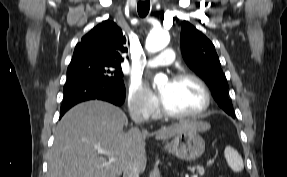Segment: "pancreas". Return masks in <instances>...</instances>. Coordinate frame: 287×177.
<instances>
[{
	"label": "pancreas",
	"instance_id": "obj_1",
	"mask_svg": "<svg viewBox=\"0 0 287 177\" xmlns=\"http://www.w3.org/2000/svg\"><path fill=\"white\" fill-rule=\"evenodd\" d=\"M195 169L198 170L199 174H203V173H204V169H203L202 167H196V168L193 167V168H190V170H191L192 172H194Z\"/></svg>",
	"mask_w": 287,
	"mask_h": 177
}]
</instances>
